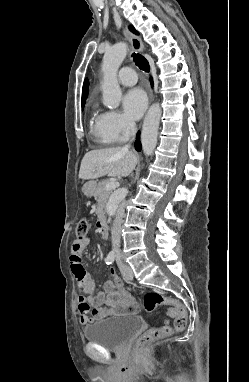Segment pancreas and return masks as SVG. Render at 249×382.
<instances>
[{
  "mask_svg": "<svg viewBox=\"0 0 249 382\" xmlns=\"http://www.w3.org/2000/svg\"><path fill=\"white\" fill-rule=\"evenodd\" d=\"M108 182H109L108 180L100 181L97 184L95 192H94V197L97 201L96 214L99 219L104 216L105 204L107 203L109 196L111 194V191L105 189V186Z\"/></svg>",
  "mask_w": 249,
  "mask_h": 382,
  "instance_id": "cf45deb5",
  "label": "pancreas"
}]
</instances>
